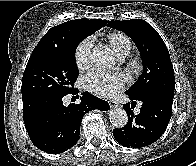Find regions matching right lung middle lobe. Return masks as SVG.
<instances>
[{"label": "right lung middle lobe", "instance_id": "right-lung-middle-lobe-1", "mask_svg": "<svg viewBox=\"0 0 196 166\" xmlns=\"http://www.w3.org/2000/svg\"><path fill=\"white\" fill-rule=\"evenodd\" d=\"M85 34L72 30L61 44H37L22 78V96L32 93L67 95L78 77L75 50Z\"/></svg>", "mask_w": 196, "mask_h": 166}]
</instances>
